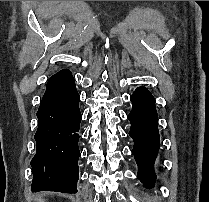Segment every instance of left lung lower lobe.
I'll return each instance as SVG.
<instances>
[{"instance_id": "1", "label": "left lung lower lobe", "mask_w": 209, "mask_h": 202, "mask_svg": "<svg viewBox=\"0 0 209 202\" xmlns=\"http://www.w3.org/2000/svg\"><path fill=\"white\" fill-rule=\"evenodd\" d=\"M130 137L134 141L132 154L138 165V177L146 188H153L156 180L154 162L160 147L158 116L155 99L145 88H137L131 96Z\"/></svg>"}]
</instances>
